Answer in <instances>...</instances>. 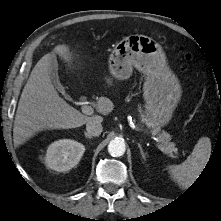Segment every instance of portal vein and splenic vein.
Returning a JSON list of instances; mask_svg holds the SVG:
<instances>
[{
	"label": "portal vein and splenic vein",
	"mask_w": 221,
	"mask_h": 221,
	"mask_svg": "<svg viewBox=\"0 0 221 221\" xmlns=\"http://www.w3.org/2000/svg\"><path fill=\"white\" fill-rule=\"evenodd\" d=\"M82 112L86 115H93L94 110L91 106L89 105H83L82 106ZM156 146L158 147V149H160L161 151H163V148L160 144H156Z\"/></svg>",
	"instance_id": "18ae733b"
}]
</instances>
